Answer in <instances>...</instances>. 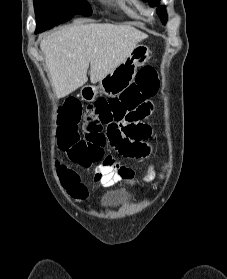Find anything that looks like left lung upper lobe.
I'll return each instance as SVG.
<instances>
[{"label": "left lung upper lobe", "mask_w": 227, "mask_h": 279, "mask_svg": "<svg viewBox=\"0 0 227 279\" xmlns=\"http://www.w3.org/2000/svg\"><path fill=\"white\" fill-rule=\"evenodd\" d=\"M146 1H149V4H150L151 6L158 5L159 2H160V0H146ZM157 13L159 14V17L161 18L163 24H165L166 21H167V14H166V9H165V7H164V6L159 7V8L157 9Z\"/></svg>", "instance_id": "1"}]
</instances>
